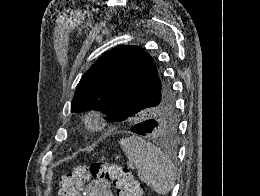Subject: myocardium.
<instances>
[{"mask_svg": "<svg viewBox=\"0 0 260 196\" xmlns=\"http://www.w3.org/2000/svg\"><path fill=\"white\" fill-rule=\"evenodd\" d=\"M86 130L91 133L99 132L105 127V115L99 110H89L85 115Z\"/></svg>", "mask_w": 260, "mask_h": 196, "instance_id": "1", "label": "myocardium"}]
</instances>
